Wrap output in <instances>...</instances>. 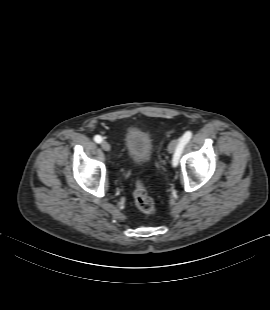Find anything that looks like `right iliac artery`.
Listing matches in <instances>:
<instances>
[{
  "label": "right iliac artery",
  "instance_id": "right-iliac-artery-1",
  "mask_svg": "<svg viewBox=\"0 0 270 310\" xmlns=\"http://www.w3.org/2000/svg\"><path fill=\"white\" fill-rule=\"evenodd\" d=\"M94 140H95L96 143H101L102 142V137L100 135H96L94 137Z\"/></svg>",
  "mask_w": 270,
  "mask_h": 310
}]
</instances>
